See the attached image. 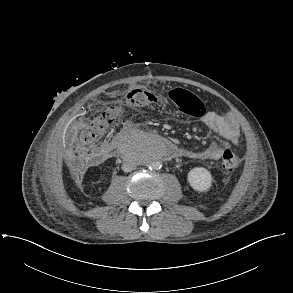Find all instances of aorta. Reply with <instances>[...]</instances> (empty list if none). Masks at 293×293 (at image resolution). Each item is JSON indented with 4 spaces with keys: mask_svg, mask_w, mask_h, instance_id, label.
Returning a JSON list of instances; mask_svg holds the SVG:
<instances>
[{
    "mask_svg": "<svg viewBox=\"0 0 293 293\" xmlns=\"http://www.w3.org/2000/svg\"><path fill=\"white\" fill-rule=\"evenodd\" d=\"M158 143L165 145V142L163 140H158ZM148 167L151 170H158V169H160L162 167V165H161L160 161H151L148 164Z\"/></svg>",
    "mask_w": 293,
    "mask_h": 293,
    "instance_id": "obj_1",
    "label": "aorta"
}]
</instances>
